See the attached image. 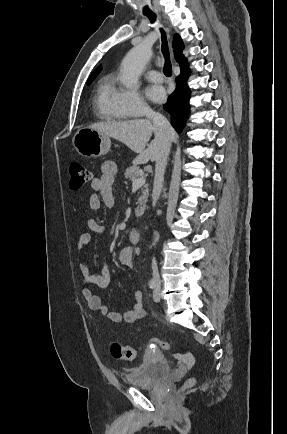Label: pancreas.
Wrapping results in <instances>:
<instances>
[{"label": "pancreas", "instance_id": "pancreas-1", "mask_svg": "<svg viewBox=\"0 0 287 434\" xmlns=\"http://www.w3.org/2000/svg\"><path fill=\"white\" fill-rule=\"evenodd\" d=\"M124 175H125L126 179L133 182L134 180H136L140 176L139 167L138 166H131V167L127 168ZM148 195H149L148 185H145L144 188L142 189V195L138 199V203L141 205V207L137 208L135 210V215L137 217L141 216L143 214Z\"/></svg>", "mask_w": 287, "mask_h": 434}]
</instances>
